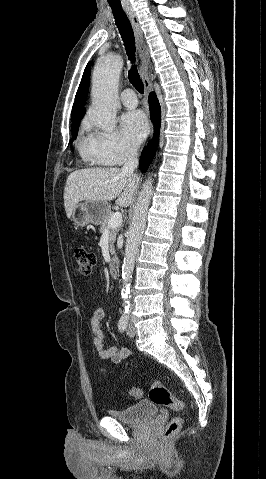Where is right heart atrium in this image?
Returning a JSON list of instances; mask_svg holds the SVG:
<instances>
[{
	"mask_svg": "<svg viewBox=\"0 0 266 479\" xmlns=\"http://www.w3.org/2000/svg\"><path fill=\"white\" fill-rule=\"evenodd\" d=\"M90 136L93 154L103 164L122 165L135 155V149L115 130L93 129Z\"/></svg>",
	"mask_w": 266,
	"mask_h": 479,
	"instance_id": "right-heart-atrium-1",
	"label": "right heart atrium"
}]
</instances>
